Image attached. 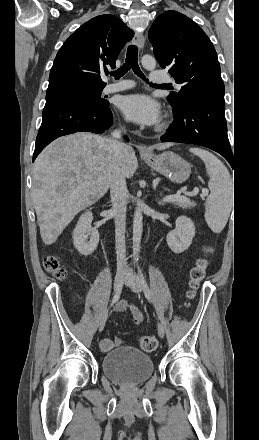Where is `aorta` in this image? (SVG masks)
<instances>
[{
    "label": "aorta",
    "instance_id": "obj_1",
    "mask_svg": "<svg viewBox=\"0 0 259 440\" xmlns=\"http://www.w3.org/2000/svg\"><path fill=\"white\" fill-rule=\"evenodd\" d=\"M142 66L146 70H154L156 67V60L150 55H144L141 59ZM143 230V216L140 207H137L133 219V254L138 257L140 251V243Z\"/></svg>",
    "mask_w": 259,
    "mask_h": 440
}]
</instances>
